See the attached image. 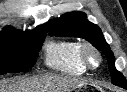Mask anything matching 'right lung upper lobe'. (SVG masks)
<instances>
[{"label":"right lung upper lobe","instance_id":"obj_1","mask_svg":"<svg viewBox=\"0 0 127 92\" xmlns=\"http://www.w3.org/2000/svg\"><path fill=\"white\" fill-rule=\"evenodd\" d=\"M39 31H44V32L47 33V31H48V23H45L44 25L38 26L33 31H25V32L16 30V29H14L12 27H7L0 33V36H3V37H14V38L25 37V36L34 34V33L39 32Z\"/></svg>","mask_w":127,"mask_h":92}]
</instances>
